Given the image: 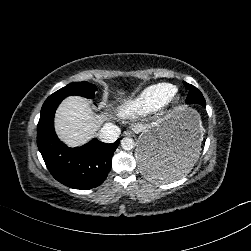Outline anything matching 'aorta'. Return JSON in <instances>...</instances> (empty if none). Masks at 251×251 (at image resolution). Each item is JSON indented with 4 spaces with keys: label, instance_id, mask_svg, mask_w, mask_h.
Masks as SVG:
<instances>
[{
    "label": "aorta",
    "instance_id": "762f6f07",
    "mask_svg": "<svg viewBox=\"0 0 251 251\" xmlns=\"http://www.w3.org/2000/svg\"><path fill=\"white\" fill-rule=\"evenodd\" d=\"M121 147L124 150H132L135 147V142L130 137H125L121 140Z\"/></svg>",
    "mask_w": 251,
    "mask_h": 251
}]
</instances>
